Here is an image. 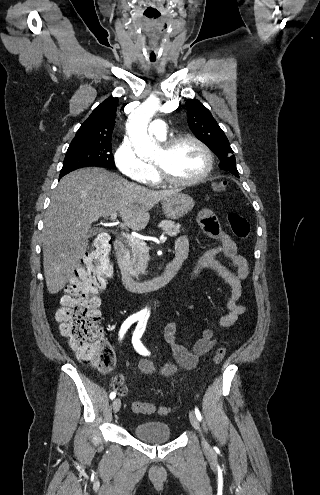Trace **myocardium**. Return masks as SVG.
I'll use <instances>...</instances> for the list:
<instances>
[{
	"mask_svg": "<svg viewBox=\"0 0 320 495\" xmlns=\"http://www.w3.org/2000/svg\"><path fill=\"white\" fill-rule=\"evenodd\" d=\"M183 142H192L196 144L201 151L203 152L205 158H206V168L205 170L197 177L195 178H190V179H178L173 176H171L163 166L160 164L154 163V167L160 177L161 180H163L166 183L175 185V186H193L197 185L204 180H206L214 166V159L211 150L207 147L205 143H203L200 139H198L195 136L192 135H181V136H176L165 143H163L162 148L164 151L169 152L171 151L174 147H176L178 144L183 143Z\"/></svg>",
	"mask_w": 320,
	"mask_h": 495,
	"instance_id": "obj_1",
	"label": "myocardium"
}]
</instances>
